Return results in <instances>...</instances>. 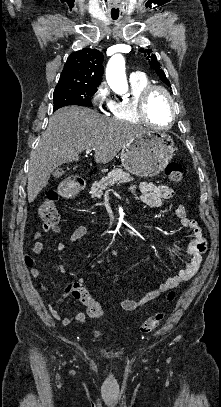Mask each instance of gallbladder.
<instances>
[{"instance_id":"gallbladder-1","label":"gallbladder","mask_w":221,"mask_h":407,"mask_svg":"<svg viewBox=\"0 0 221 407\" xmlns=\"http://www.w3.org/2000/svg\"><path fill=\"white\" fill-rule=\"evenodd\" d=\"M63 174H64V171H63V169H61V168L55 169V170L53 171V173H52V175H53L55 178H58V177L62 176Z\"/></svg>"}]
</instances>
